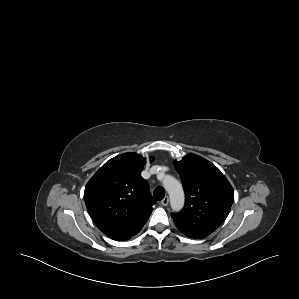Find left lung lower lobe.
Instances as JSON below:
<instances>
[{
	"instance_id": "1",
	"label": "left lung lower lobe",
	"mask_w": 299,
	"mask_h": 299,
	"mask_svg": "<svg viewBox=\"0 0 299 299\" xmlns=\"http://www.w3.org/2000/svg\"><path fill=\"white\" fill-rule=\"evenodd\" d=\"M175 225L177 226V228L183 232L187 237H190V238H194V239H198V238H203V237H206V236H203V235H188L186 232L183 231V228L181 227L180 224H178L175 220Z\"/></svg>"
}]
</instances>
